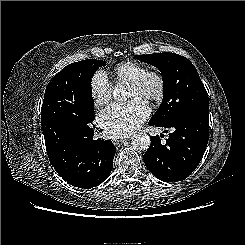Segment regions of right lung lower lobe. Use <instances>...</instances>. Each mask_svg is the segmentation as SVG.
Instances as JSON below:
<instances>
[{
  "mask_svg": "<svg viewBox=\"0 0 245 245\" xmlns=\"http://www.w3.org/2000/svg\"><path fill=\"white\" fill-rule=\"evenodd\" d=\"M92 128L44 134L49 160L69 184L90 189L105 181L113 168L115 146L111 140L93 139Z\"/></svg>",
  "mask_w": 245,
  "mask_h": 245,
  "instance_id": "98d812e1",
  "label": "right lung lower lobe"
}]
</instances>
